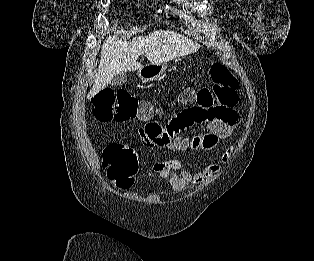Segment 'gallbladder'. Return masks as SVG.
Returning a JSON list of instances; mask_svg holds the SVG:
<instances>
[{
  "label": "gallbladder",
  "mask_w": 314,
  "mask_h": 261,
  "mask_svg": "<svg viewBox=\"0 0 314 261\" xmlns=\"http://www.w3.org/2000/svg\"><path fill=\"white\" fill-rule=\"evenodd\" d=\"M126 80H127L126 72H120L113 77L111 81V85L120 86V85H123L126 82Z\"/></svg>",
  "instance_id": "1"
}]
</instances>
